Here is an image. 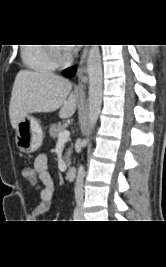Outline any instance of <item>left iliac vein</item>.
I'll use <instances>...</instances> for the list:
<instances>
[{
    "mask_svg": "<svg viewBox=\"0 0 166 267\" xmlns=\"http://www.w3.org/2000/svg\"><path fill=\"white\" fill-rule=\"evenodd\" d=\"M80 216H81V219L84 218V217H83V210H82V209L80 210Z\"/></svg>",
    "mask_w": 166,
    "mask_h": 267,
    "instance_id": "obj_1",
    "label": "left iliac vein"
}]
</instances>
